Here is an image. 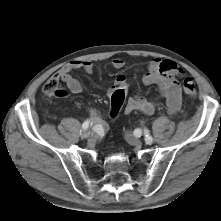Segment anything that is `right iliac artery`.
Listing matches in <instances>:
<instances>
[{
    "label": "right iliac artery",
    "mask_w": 221,
    "mask_h": 221,
    "mask_svg": "<svg viewBox=\"0 0 221 221\" xmlns=\"http://www.w3.org/2000/svg\"><path fill=\"white\" fill-rule=\"evenodd\" d=\"M90 124L92 125V123H91L89 120L85 121V122L82 124V129H83V131H84L83 134H81V135H82V138H84V137L87 136L86 131L88 130Z\"/></svg>",
    "instance_id": "82829eb1"
}]
</instances>
